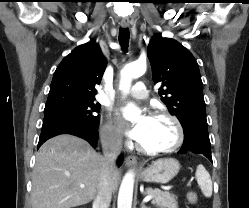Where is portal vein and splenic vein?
I'll return each instance as SVG.
<instances>
[{"mask_svg": "<svg viewBox=\"0 0 249 208\" xmlns=\"http://www.w3.org/2000/svg\"><path fill=\"white\" fill-rule=\"evenodd\" d=\"M80 187L83 188L84 185L82 184V185H80ZM151 199H152V196L147 195V196L143 199V201H144V202H148V201H150Z\"/></svg>", "mask_w": 249, "mask_h": 208, "instance_id": "1", "label": "portal vein and splenic vein"}]
</instances>
